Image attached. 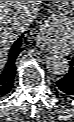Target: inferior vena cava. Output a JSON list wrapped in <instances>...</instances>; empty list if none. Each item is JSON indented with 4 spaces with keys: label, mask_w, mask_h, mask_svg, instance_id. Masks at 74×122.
I'll use <instances>...</instances> for the list:
<instances>
[{
    "label": "inferior vena cava",
    "mask_w": 74,
    "mask_h": 122,
    "mask_svg": "<svg viewBox=\"0 0 74 122\" xmlns=\"http://www.w3.org/2000/svg\"><path fill=\"white\" fill-rule=\"evenodd\" d=\"M38 11H39L38 8H32L31 12L28 13V15H26L25 17L22 18V22H21L20 28L21 29L28 28V26L30 25V23L35 18V15H37Z\"/></svg>",
    "instance_id": "1"
}]
</instances>
